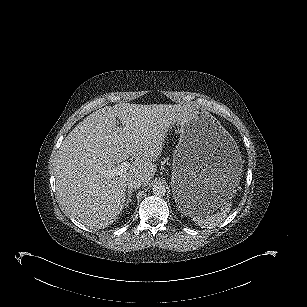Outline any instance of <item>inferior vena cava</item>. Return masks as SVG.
I'll return each mask as SVG.
<instances>
[{"instance_id": "inferior-vena-cava-1", "label": "inferior vena cava", "mask_w": 307, "mask_h": 307, "mask_svg": "<svg viewBox=\"0 0 307 307\" xmlns=\"http://www.w3.org/2000/svg\"><path fill=\"white\" fill-rule=\"evenodd\" d=\"M142 184H143V180L141 178L134 177V178H130L127 181L126 185L129 190H134V189L140 188Z\"/></svg>"}]
</instances>
